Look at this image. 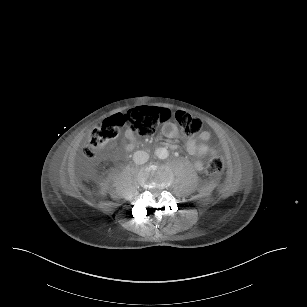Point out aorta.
<instances>
[{"mask_svg": "<svg viewBox=\"0 0 307 307\" xmlns=\"http://www.w3.org/2000/svg\"><path fill=\"white\" fill-rule=\"evenodd\" d=\"M156 155L160 159H166L169 156L168 150L166 148H159L156 151Z\"/></svg>", "mask_w": 307, "mask_h": 307, "instance_id": "obj_1", "label": "aorta"}]
</instances>
